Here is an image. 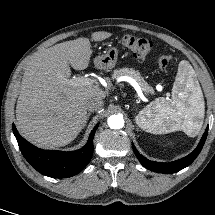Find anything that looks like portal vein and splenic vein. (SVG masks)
I'll list each match as a JSON object with an SVG mask.
<instances>
[{"instance_id":"18ae733b","label":"portal vein and splenic vein","mask_w":215,"mask_h":215,"mask_svg":"<svg viewBox=\"0 0 215 215\" xmlns=\"http://www.w3.org/2000/svg\"><path fill=\"white\" fill-rule=\"evenodd\" d=\"M69 85L73 86H88L94 83V80L87 76L73 77L66 80Z\"/></svg>"}]
</instances>
